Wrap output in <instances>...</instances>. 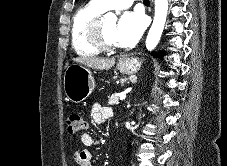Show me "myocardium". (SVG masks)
I'll return each instance as SVG.
<instances>
[{"mask_svg":"<svg viewBox=\"0 0 227 166\" xmlns=\"http://www.w3.org/2000/svg\"><path fill=\"white\" fill-rule=\"evenodd\" d=\"M106 18V14L102 13L95 19H93L87 28V35L90 42L97 47L100 51H115L118 49V45L108 43L103 36V25Z\"/></svg>","mask_w":227,"mask_h":166,"instance_id":"myocardium-1","label":"myocardium"}]
</instances>
